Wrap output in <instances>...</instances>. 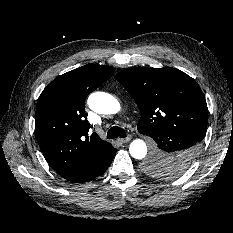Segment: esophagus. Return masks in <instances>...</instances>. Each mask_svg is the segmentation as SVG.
<instances>
[{"label":"esophagus","mask_w":233,"mask_h":233,"mask_svg":"<svg viewBox=\"0 0 233 233\" xmlns=\"http://www.w3.org/2000/svg\"><path fill=\"white\" fill-rule=\"evenodd\" d=\"M131 138H132V136L128 135L126 138H119L118 142L119 143H126V142H129L131 140Z\"/></svg>","instance_id":"esophagus-1"}]
</instances>
